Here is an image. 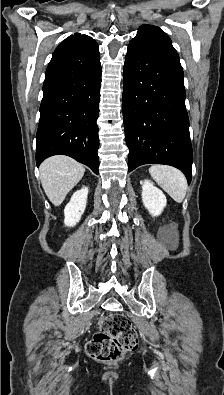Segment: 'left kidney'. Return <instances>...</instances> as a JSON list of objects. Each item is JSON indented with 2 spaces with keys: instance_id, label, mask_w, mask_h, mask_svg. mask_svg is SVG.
Listing matches in <instances>:
<instances>
[{
  "instance_id": "1",
  "label": "left kidney",
  "mask_w": 224,
  "mask_h": 395,
  "mask_svg": "<svg viewBox=\"0 0 224 395\" xmlns=\"http://www.w3.org/2000/svg\"><path fill=\"white\" fill-rule=\"evenodd\" d=\"M142 201L153 217L160 215L167 204L164 193L146 179L142 184Z\"/></svg>"
}]
</instances>
